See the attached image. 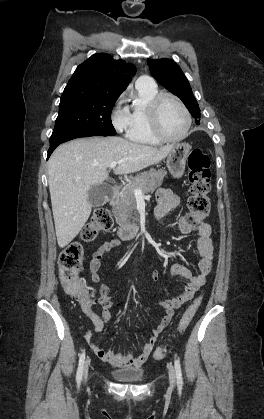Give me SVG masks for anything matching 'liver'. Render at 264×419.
<instances>
[{"instance_id": "6515ba94", "label": "liver", "mask_w": 264, "mask_h": 419, "mask_svg": "<svg viewBox=\"0 0 264 419\" xmlns=\"http://www.w3.org/2000/svg\"><path fill=\"white\" fill-rule=\"evenodd\" d=\"M172 148L116 136L80 138L56 148L48 162V182L58 246H67L87 222L92 210L88 192L108 178L112 162H119L115 174H130L159 163Z\"/></svg>"}]
</instances>
